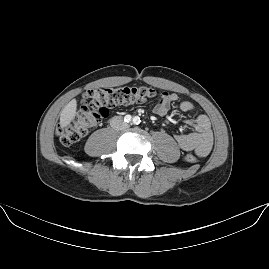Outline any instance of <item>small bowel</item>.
Wrapping results in <instances>:
<instances>
[{
    "label": "small bowel",
    "mask_w": 269,
    "mask_h": 269,
    "mask_svg": "<svg viewBox=\"0 0 269 269\" xmlns=\"http://www.w3.org/2000/svg\"><path fill=\"white\" fill-rule=\"evenodd\" d=\"M178 100V95L174 92H164L155 107V113L164 116L170 106ZM196 109L192 101L186 100L179 104L182 112H192ZM194 132L191 134L177 133L174 135L178 146L185 151H194L197 156L204 157L210 153L214 143V134L209 118L206 115H198L194 119L186 120Z\"/></svg>",
    "instance_id": "obj_1"
}]
</instances>
